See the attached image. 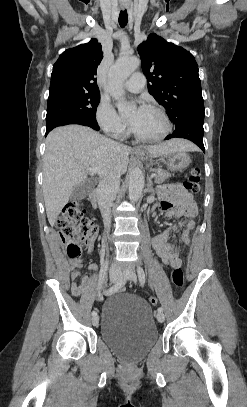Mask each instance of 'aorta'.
Here are the masks:
<instances>
[{
	"label": "aorta",
	"mask_w": 247,
	"mask_h": 407,
	"mask_svg": "<svg viewBox=\"0 0 247 407\" xmlns=\"http://www.w3.org/2000/svg\"><path fill=\"white\" fill-rule=\"evenodd\" d=\"M140 60L135 56L119 57L115 64L110 68L108 74V85L106 91L115 100H121L124 95L122 85L124 81L139 67ZM120 113H128L131 107L122 102L118 103ZM144 187V174L139 167H134L129 175V198L132 202L139 200Z\"/></svg>",
	"instance_id": "762f6f07"
}]
</instances>
